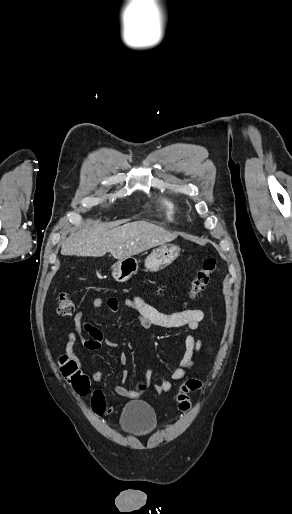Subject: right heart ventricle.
I'll use <instances>...</instances> for the list:
<instances>
[{"label":"right heart ventricle","instance_id":"e07e8e85","mask_svg":"<svg viewBox=\"0 0 292 514\" xmlns=\"http://www.w3.org/2000/svg\"><path fill=\"white\" fill-rule=\"evenodd\" d=\"M157 206L168 221L177 220L183 210L182 201L175 194H161L158 197Z\"/></svg>","mask_w":292,"mask_h":514}]
</instances>
